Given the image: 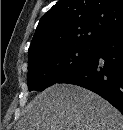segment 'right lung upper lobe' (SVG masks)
Masks as SVG:
<instances>
[{
    "instance_id": "obj_1",
    "label": "right lung upper lobe",
    "mask_w": 123,
    "mask_h": 130,
    "mask_svg": "<svg viewBox=\"0 0 123 130\" xmlns=\"http://www.w3.org/2000/svg\"><path fill=\"white\" fill-rule=\"evenodd\" d=\"M121 26L123 0H60L41 17L28 60L73 45H95Z\"/></svg>"
}]
</instances>
